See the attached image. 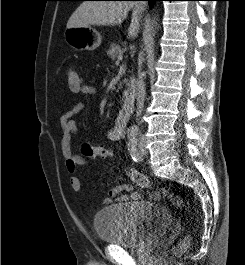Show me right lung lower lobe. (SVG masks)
Returning a JSON list of instances; mask_svg holds the SVG:
<instances>
[{"label": "right lung lower lobe", "mask_w": 245, "mask_h": 265, "mask_svg": "<svg viewBox=\"0 0 245 265\" xmlns=\"http://www.w3.org/2000/svg\"><path fill=\"white\" fill-rule=\"evenodd\" d=\"M127 1H148L149 5L152 6L155 1H161V0H127Z\"/></svg>", "instance_id": "right-lung-lower-lobe-1"}]
</instances>
